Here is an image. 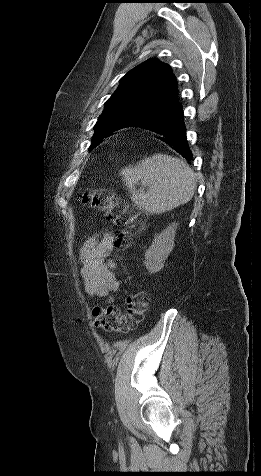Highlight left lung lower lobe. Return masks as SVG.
<instances>
[{
	"label": "left lung lower lobe",
	"instance_id": "1",
	"mask_svg": "<svg viewBox=\"0 0 261 476\" xmlns=\"http://www.w3.org/2000/svg\"><path fill=\"white\" fill-rule=\"evenodd\" d=\"M125 127H142L153 131L159 135L158 139L163 141L169 148L181 154L187 160H192V152L190 151L185 134V125L183 110L180 103L158 116L147 117L138 122H132L121 128L115 127L108 130L105 137L110 136L114 131Z\"/></svg>",
	"mask_w": 261,
	"mask_h": 476
}]
</instances>
